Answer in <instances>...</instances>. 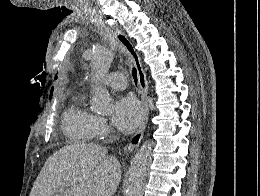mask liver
<instances>
[{"instance_id": "liver-1", "label": "liver", "mask_w": 260, "mask_h": 196, "mask_svg": "<svg viewBox=\"0 0 260 196\" xmlns=\"http://www.w3.org/2000/svg\"><path fill=\"white\" fill-rule=\"evenodd\" d=\"M121 174L120 162L108 156L107 148L73 144L49 156L30 196H59L58 192L63 196H113Z\"/></svg>"}]
</instances>
